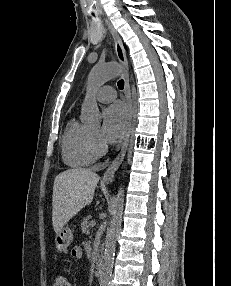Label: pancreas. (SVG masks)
<instances>
[{
  "label": "pancreas",
  "instance_id": "cf45deb5",
  "mask_svg": "<svg viewBox=\"0 0 231 286\" xmlns=\"http://www.w3.org/2000/svg\"><path fill=\"white\" fill-rule=\"evenodd\" d=\"M92 217L89 215L85 218H83L82 222H81V230H82V233H88L89 232V227H90V219Z\"/></svg>",
  "mask_w": 231,
  "mask_h": 286
}]
</instances>
